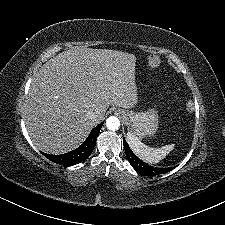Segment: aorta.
<instances>
[{
  "mask_svg": "<svg viewBox=\"0 0 225 225\" xmlns=\"http://www.w3.org/2000/svg\"><path fill=\"white\" fill-rule=\"evenodd\" d=\"M106 126L109 130H117L120 127V121L115 116H110L106 120Z\"/></svg>",
  "mask_w": 225,
  "mask_h": 225,
  "instance_id": "1",
  "label": "aorta"
}]
</instances>
